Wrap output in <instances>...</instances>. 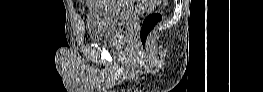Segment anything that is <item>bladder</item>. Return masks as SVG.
<instances>
[{"label": "bladder", "instance_id": "obj_1", "mask_svg": "<svg viewBox=\"0 0 263 92\" xmlns=\"http://www.w3.org/2000/svg\"><path fill=\"white\" fill-rule=\"evenodd\" d=\"M86 18L88 37L93 42L117 45L128 32L138 12L120 7L118 1H97ZM105 4V5H102Z\"/></svg>", "mask_w": 263, "mask_h": 92}]
</instances>
